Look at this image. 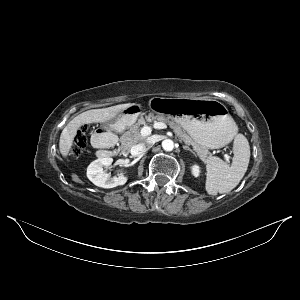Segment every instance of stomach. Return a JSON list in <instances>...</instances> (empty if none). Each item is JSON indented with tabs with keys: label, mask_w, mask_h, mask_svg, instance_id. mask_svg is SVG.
Segmentation results:
<instances>
[{
	"label": "stomach",
	"mask_w": 300,
	"mask_h": 300,
	"mask_svg": "<svg viewBox=\"0 0 300 300\" xmlns=\"http://www.w3.org/2000/svg\"><path fill=\"white\" fill-rule=\"evenodd\" d=\"M151 116H167L176 120L199 145L209 149L230 143L237 126L221 102L214 99L155 98L150 102ZM142 106L131 104L110 123V128L122 132L141 115Z\"/></svg>",
	"instance_id": "stomach-1"
}]
</instances>
